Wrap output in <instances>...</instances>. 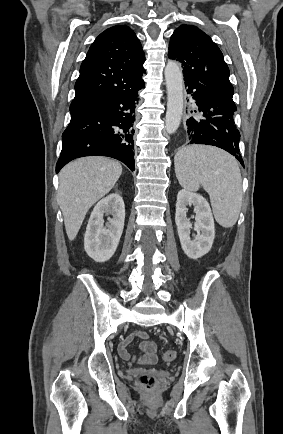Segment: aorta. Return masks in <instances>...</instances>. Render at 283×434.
I'll return each instance as SVG.
<instances>
[{"label": "aorta", "instance_id": "obj_1", "mask_svg": "<svg viewBox=\"0 0 283 434\" xmlns=\"http://www.w3.org/2000/svg\"><path fill=\"white\" fill-rule=\"evenodd\" d=\"M164 74L167 87L165 130L168 134H172L178 129L182 118L184 80L182 70L175 61H169L167 63Z\"/></svg>", "mask_w": 283, "mask_h": 434}]
</instances>
